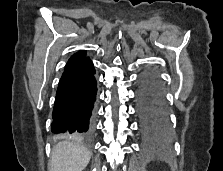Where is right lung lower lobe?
Wrapping results in <instances>:
<instances>
[{
  "label": "right lung lower lobe",
  "mask_w": 223,
  "mask_h": 171,
  "mask_svg": "<svg viewBox=\"0 0 223 171\" xmlns=\"http://www.w3.org/2000/svg\"><path fill=\"white\" fill-rule=\"evenodd\" d=\"M88 58L65 68L56 93L51 130L60 136L91 138L97 82Z\"/></svg>",
  "instance_id": "1"
}]
</instances>
